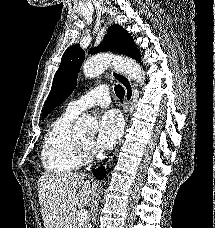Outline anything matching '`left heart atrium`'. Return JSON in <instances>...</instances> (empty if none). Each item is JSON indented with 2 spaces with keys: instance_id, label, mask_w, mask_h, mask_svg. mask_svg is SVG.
<instances>
[{
  "instance_id": "1",
  "label": "left heart atrium",
  "mask_w": 215,
  "mask_h": 228,
  "mask_svg": "<svg viewBox=\"0 0 215 228\" xmlns=\"http://www.w3.org/2000/svg\"><path fill=\"white\" fill-rule=\"evenodd\" d=\"M124 123L121 115L115 111H107L99 119V130L96 148L104 150L113 147L121 138Z\"/></svg>"
}]
</instances>
